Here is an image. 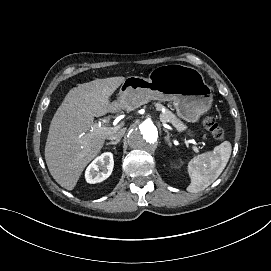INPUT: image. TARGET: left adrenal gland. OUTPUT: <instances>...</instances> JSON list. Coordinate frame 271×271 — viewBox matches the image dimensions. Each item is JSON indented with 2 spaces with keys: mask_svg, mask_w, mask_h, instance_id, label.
Returning <instances> with one entry per match:
<instances>
[{
  "mask_svg": "<svg viewBox=\"0 0 271 271\" xmlns=\"http://www.w3.org/2000/svg\"><path fill=\"white\" fill-rule=\"evenodd\" d=\"M163 130L167 133V136L165 137V140L168 142V145L171 146L172 144L170 142V134H169L167 129L164 128Z\"/></svg>",
  "mask_w": 271,
  "mask_h": 271,
  "instance_id": "obj_1",
  "label": "left adrenal gland"
}]
</instances>
